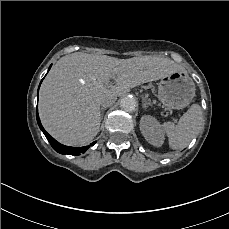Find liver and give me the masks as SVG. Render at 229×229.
<instances>
[{
	"mask_svg": "<svg viewBox=\"0 0 229 229\" xmlns=\"http://www.w3.org/2000/svg\"><path fill=\"white\" fill-rule=\"evenodd\" d=\"M187 72L162 56L127 59L76 52L60 58L43 81L39 115L44 128L65 145H84L100 131L102 102L114 103L141 84ZM114 79L115 84L110 83Z\"/></svg>",
	"mask_w": 229,
	"mask_h": 229,
	"instance_id": "1",
	"label": "liver"
}]
</instances>
